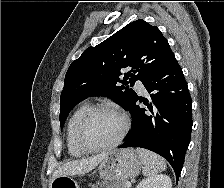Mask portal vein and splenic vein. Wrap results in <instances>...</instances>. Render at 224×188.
Here are the masks:
<instances>
[{"label":"portal vein and splenic vein","mask_w":224,"mask_h":188,"mask_svg":"<svg viewBox=\"0 0 224 188\" xmlns=\"http://www.w3.org/2000/svg\"><path fill=\"white\" fill-rule=\"evenodd\" d=\"M126 188H131V183L130 182H126Z\"/></svg>","instance_id":"1"}]
</instances>
